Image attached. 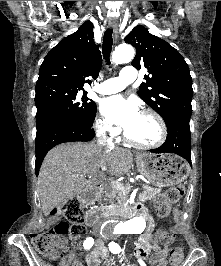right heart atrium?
<instances>
[{"label": "right heart atrium", "instance_id": "1", "mask_svg": "<svg viewBox=\"0 0 221 266\" xmlns=\"http://www.w3.org/2000/svg\"><path fill=\"white\" fill-rule=\"evenodd\" d=\"M94 128L96 133L104 138H114L119 134V129L112 126L102 117H97L95 120Z\"/></svg>", "mask_w": 221, "mask_h": 266}]
</instances>
